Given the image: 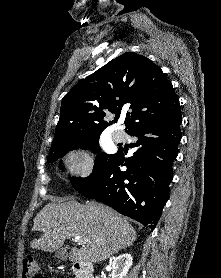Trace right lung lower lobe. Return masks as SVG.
I'll return each instance as SVG.
<instances>
[{
    "mask_svg": "<svg viewBox=\"0 0 221 278\" xmlns=\"http://www.w3.org/2000/svg\"><path fill=\"white\" fill-rule=\"evenodd\" d=\"M181 118L178 111L128 131L138 137L134 155L125 159L122 152H117L92 182L77 191L154 230L169 198ZM119 166L127 169L121 171Z\"/></svg>",
    "mask_w": 221,
    "mask_h": 278,
    "instance_id": "obj_1",
    "label": "right lung lower lobe"
}]
</instances>
